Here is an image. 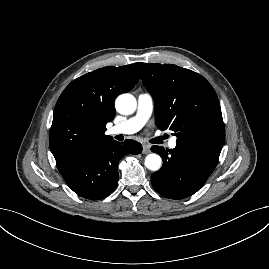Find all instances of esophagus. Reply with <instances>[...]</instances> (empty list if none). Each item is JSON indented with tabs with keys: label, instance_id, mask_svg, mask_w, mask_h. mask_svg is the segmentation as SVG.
Returning <instances> with one entry per match:
<instances>
[{
	"label": "esophagus",
	"instance_id": "1",
	"mask_svg": "<svg viewBox=\"0 0 269 269\" xmlns=\"http://www.w3.org/2000/svg\"><path fill=\"white\" fill-rule=\"evenodd\" d=\"M150 153V146L149 145H143V154Z\"/></svg>",
	"mask_w": 269,
	"mask_h": 269
}]
</instances>
